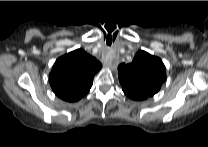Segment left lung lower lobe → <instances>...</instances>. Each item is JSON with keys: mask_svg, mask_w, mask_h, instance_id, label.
<instances>
[{"mask_svg": "<svg viewBox=\"0 0 208 147\" xmlns=\"http://www.w3.org/2000/svg\"><path fill=\"white\" fill-rule=\"evenodd\" d=\"M128 97H130L131 99L134 100H144L146 99V97L142 94H138V93H127L126 94Z\"/></svg>", "mask_w": 208, "mask_h": 147, "instance_id": "obj_1", "label": "left lung lower lobe"}]
</instances>
